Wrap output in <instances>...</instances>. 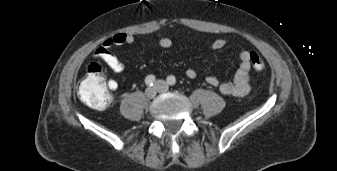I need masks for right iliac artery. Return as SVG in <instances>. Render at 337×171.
Listing matches in <instances>:
<instances>
[{
  "label": "right iliac artery",
  "instance_id": "1",
  "mask_svg": "<svg viewBox=\"0 0 337 171\" xmlns=\"http://www.w3.org/2000/svg\"><path fill=\"white\" fill-rule=\"evenodd\" d=\"M155 82V77L153 75H148L145 79V83L147 86H153Z\"/></svg>",
  "mask_w": 337,
  "mask_h": 171
}]
</instances>
